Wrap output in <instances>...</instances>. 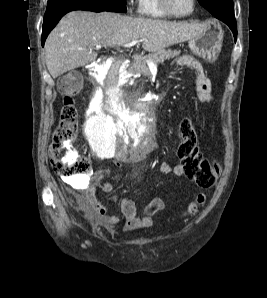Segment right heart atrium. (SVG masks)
I'll list each match as a JSON object with an SVG mask.
<instances>
[{
    "instance_id": "d8ad5b80",
    "label": "right heart atrium",
    "mask_w": 267,
    "mask_h": 298,
    "mask_svg": "<svg viewBox=\"0 0 267 298\" xmlns=\"http://www.w3.org/2000/svg\"><path fill=\"white\" fill-rule=\"evenodd\" d=\"M126 7L129 12H134L136 10L135 0H126Z\"/></svg>"
}]
</instances>
